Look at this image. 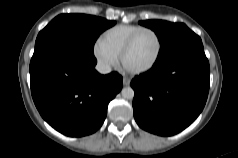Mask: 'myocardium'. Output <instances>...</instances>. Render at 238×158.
Wrapping results in <instances>:
<instances>
[{"mask_svg": "<svg viewBox=\"0 0 238 158\" xmlns=\"http://www.w3.org/2000/svg\"><path fill=\"white\" fill-rule=\"evenodd\" d=\"M145 32H149L151 34L154 35V37L156 38V41H157V52H156V55L154 57V59L146 66L142 67V68H137V69H133V68H130L126 65V57L128 55V53L131 51V49L133 48L136 40L138 39V37L142 34V33H145ZM162 40H161V37L160 35L153 29L151 28H142L138 31H136L130 38L129 40L127 41V43L125 44L121 54H120V60H121V64L123 66V68L129 72V73H132V74H142V73H145V72H148L150 71L156 64L157 62L159 61L160 59V56L162 54Z\"/></svg>", "mask_w": 238, "mask_h": 158, "instance_id": "obj_1", "label": "myocardium"}]
</instances>
